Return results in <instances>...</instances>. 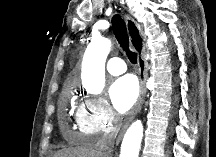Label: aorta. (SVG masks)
<instances>
[{"mask_svg": "<svg viewBox=\"0 0 216 157\" xmlns=\"http://www.w3.org/2000/svg\"><path fill=\"white\" fill-rule=\"evenodd\" d=\"M111 49L107 38H95L88 45L82 63V84L91 94H100L105 85V62ZM143 137V125L140 120L133 122L127 129L120 157H138Z\"/></svg>", "mask_w": 216, "mask_h": 157, "instance_id": "aorta-1", "label": "aorta"}]
</instances>
